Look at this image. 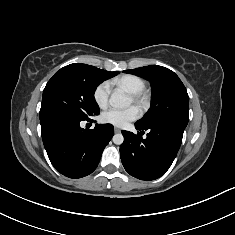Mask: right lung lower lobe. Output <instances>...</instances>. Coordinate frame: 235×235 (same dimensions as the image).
<instances>
[{"mask_svg": "<svg viewBox=\"0 0 235 235\" xmlns=\"http://www.w3.org/2000/svg\"><path fill=\"white\" fill-rule=\"evenodd\" d=\"M80 122L60 118L40 120L48 157L55 169L69 178L92 173L114 134L111 124H96L89 130L81 128Z\"/></svg>", "mask_w": 235, "mask_h": 235, "instance_id": "1", "label": "right lung lower lobe"}]
</instances>
